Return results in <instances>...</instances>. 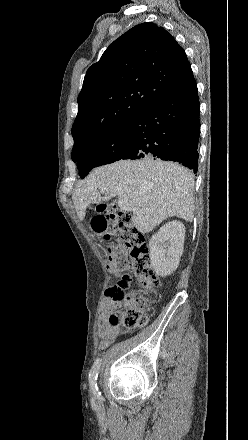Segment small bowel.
Listing matches in <instances>:
<instances>
[{"label": "small bowel", "instance_id": "small-bowel-1", "mask_svg": "<svg viewBox=\"0 0 248 440\" xmlns=\"http://www.w3.org/2000/svg\"><path fill=\"white\" fill-rule=\"evenodd\" d=\"M113 310L114 307L105 301L98 320V334L101 338L99 343L100 349L108 348L112 341L119 335L120 330L118 325L112 326L108 321V317L113 313Z\"/></svg>", "mask_w": 248, "mask_h": 440}]
</instances>
